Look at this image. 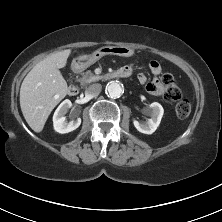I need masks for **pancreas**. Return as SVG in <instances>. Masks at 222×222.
Masks as SVG:
<instances>
[{
	"label": "pancreas",
	"instance_id": "cf45deb5",
	"mask_svg": "<svg viewBox=\"0 0 222 222\" xmlns=\"http://www.w3.org/2000/svg\"><path fill=\"white\" fill-rule=\"evenodd\" d=\"M100 79L101 76L94 75L90 70H88L85 73H82V77L79 78L78 81L82 86H86L92 82L99 81Z\"/></svg>",
	"mask_w": 222,
	"mask_h": 222
}]
</instances>
